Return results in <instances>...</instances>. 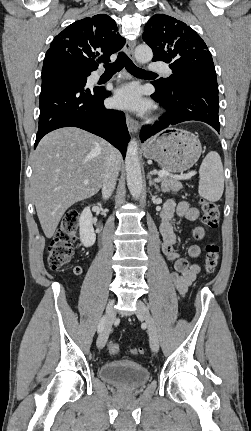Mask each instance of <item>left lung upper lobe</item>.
<instances>
[{
	"mask_svg": "<svg viewBox=\"0 0 251 431\" xmlns=\"http://www.w3.org/2000/svg\"><path fill=\"white\" fill-rule=\"evenodd\" d=\"M143 40L154 53L152 61L169 64L173 74L154 83L166 94L186 83H217L211 53L200 36L185 23L164 14H156L144 27Z\"/></svg>",
	"mask_w": 251,
	"mask_h": 431,
	"instance_id": "left-lung-upper-lobe-1",
	"label": "left lung upper lobe"
}]
</instances>
